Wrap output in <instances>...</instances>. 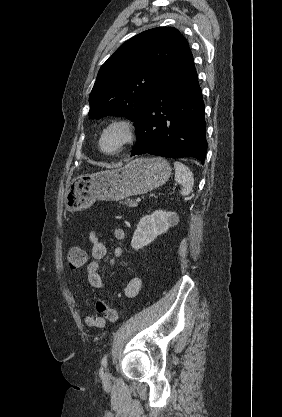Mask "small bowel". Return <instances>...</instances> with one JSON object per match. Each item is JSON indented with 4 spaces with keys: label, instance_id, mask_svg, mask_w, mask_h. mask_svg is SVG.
<instances>
[{
    "label": "small bowel",
    "instance_id": "1",
    "mask_svg": "<svg viewBox=\"0 0 282 417\" xmlns=\"http://www.w3.org/2000/svg\"><path fill=\"white\" fill-rule=\"evenodd\" d=\"M113 237L118 241L126 239V232L122 227H115L113 229ZM88 239L91 243L92 259L87 265V281L86 287L90 289H101L104 286L105 280L100 273L102 260L107 254L106 245L100 240L95 231H90ZM122 255V248L117 247L114 251L113 257L109 260V266H113L116 258ZM142 287V280L139 277L132 278L125 287L124 294L127 298H134L138 295ZM85 324L93 328H103L106 324L102 316L87 314L84 318Z\"/></svg>",
    "mask_w": 282,
    "mask_h": 417
}]
</instances>
